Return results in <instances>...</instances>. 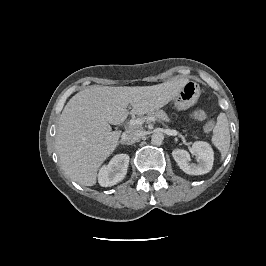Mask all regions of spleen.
I'll use <instances>...</instances> for the list:
<instances>
[{"mask_svg":"<svg viewBox=\"0 0 266 266\" xmlns=\"http://www.w3.org/2000/svg\"><path fill=\"white\" fill-rule=\"evenodd\" d=\"M211 140L213 145L220 151L222 159H224L230 147L229 124L224 113H220L217 117V124L213 129Z\"/></svg>","mask_w":266,"mask_h":266,"instance_id":"1","label":"spleen"}]
</instances>
